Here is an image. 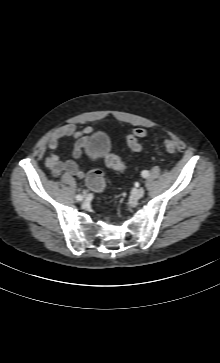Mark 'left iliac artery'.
Instances as JSON below:
<instances>
[{
	"label": "left iliac artery",
	"instance_id": "1",
	"mask_svg": "<svg viewBox=\"0 0 220 363\" xmlns=\"http://www.w3.org/2000/svg\"><path fill=\"white\" fill-rule=\"evenodd\" d=\"M142 177L147 178L149 176V172L147 170L142 171Z\"/></svg>",
	"mask_w": 220,
	"mask_h": 363
}]
</instances>
